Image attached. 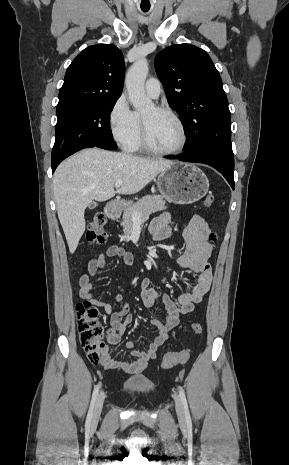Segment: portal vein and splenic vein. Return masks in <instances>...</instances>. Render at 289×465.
<instances>
[{
    "label": "portal vein and splenic vein",
    "instance_id": "1",
    "mask_svg": "<svg viewBox=\"0 0 289 465\" xmlns=\"http://www.w3.org/2000/svg\"><path fill=\"white\" fill-rule=\"evenodd\" d=\"M121 185H122V180L116 181V183H115V187H116V188H119ZM133 220H134L135 222H140V221H139V220H140V215L137 214V213H135V214L133 215Z\"/></svg>",
    "mask_w": 289,
    "mask_h": 465
}]
</instances>
